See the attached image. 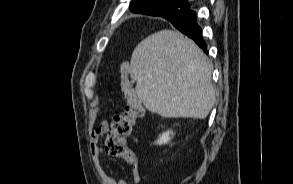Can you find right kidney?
<instances>
[{"mask_svg":"<svg viewBox=\"0 0 293 184\" xmlns=\"http://www.w3.org/2000/svg\"><path fill=\"white\" fill-rule=\"evenodd\" d=\"M173 135H174V133L172 130H168L166 132H163V134L156 141V144L157 145L168 144L170 142V140L172 139Z\"/></svg>","mask_w":293,"mask_h":184,"instance_id":"ca27d5eb","label":"right kidney"}]
</instances>
